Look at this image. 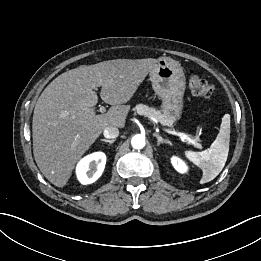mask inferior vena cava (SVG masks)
I'll list each match as a JSON object with an SVG mask.
<instances>
[{
    "label": "inferior vena cava",
    "mask_w": 261,
    "mask_h": 261,
    "mask_svg": "<svg viewBox=\"0 0 261 261\" xmlns=\"http://www.w3.org/2000/svg\"><path fill=\"white\" fill-rule=\"evenodd\" d=\"M103 135L105 138L114 139L119 135V129L114 126H108L104 129Z\"/></svg>",
    "instance_id": "obj_1"
}]
</instances>
